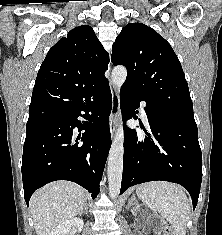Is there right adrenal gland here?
Listing matches in <instances>:
<instances>
[{"label":"right adrenal gland","instance_id":"right-adrenal-gland-1","mask_svg":"<svg viewBox=\"0 0 222 235\" xmlns=\"http://www.w3.org/2000/svg\"><path fill=\"white\" fill-rule=\"evenodd\" d=\"M87 209H88V207H87V201H85L84 207H83V209L81 210L80 215H82L83 213L87 214Z\"/></svg>","mask_w":222,"mask_h":235}]
</instances>
